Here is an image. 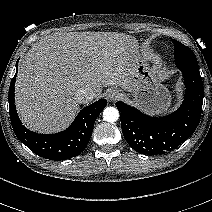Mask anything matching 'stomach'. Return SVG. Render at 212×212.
Listing matches in <instances>:
<instances>
[{"label": "stomach", "mask_w": 212, "mask_h": 212, "mask_svg": "<svg viewBox=\"0 0 212 212\" xmlns=\"http://www.w3.org/2000/svg\"><path fill=\"white\" fill-rule=\"evenodd\" d=\"M127 84L123 93L130 101L144 110L163 112L171 104L168 89L160 82L149 66L146 58L137 50L125 65Z\"/></svg>", "instance_id": "0dacf381"}]
</instances>
